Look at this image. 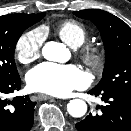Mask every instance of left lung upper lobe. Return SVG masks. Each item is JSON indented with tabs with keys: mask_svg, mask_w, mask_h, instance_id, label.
<instances>
[{
	"mask_svg": "<svg viewBox=\"0 0 131 131\" xmlns=\"http://www.w3.org/2000/svg\"><path fill=\"white\" fill-rule=\"evenodd\" d=\"M74 14L97 26L105 46L102 79L93 89L131 93V28L113 14L99 9L74 11Z\"/></svg>",
	"mask_w": 131,
	"mask_h": 131,
	"instance_id": "5c2ea615",
	"label": "left lung upper lobe"
}]
</instances>
